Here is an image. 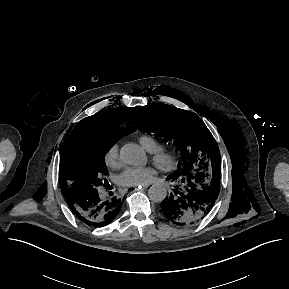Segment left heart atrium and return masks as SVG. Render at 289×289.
Listing matches in <instances>:
<instances>
[{
    "mask_svg": "<svg viewBox=\"0 0 289 289\" xmlns=\"http://www.w3.org/2000/svg\"><path fill=\"white\" fill-rule=\"evenodd\" d=\"M156 171L151 166L129 167L119 174L117 181L126 187H138L151 183Z\"/></svg>",
    "mask_w": 289,
    "mask_h": 289,
    "instance_id": "39dd6f15",
    "label": "left heart atrium"
}]
</instances>
